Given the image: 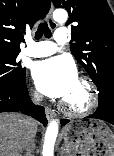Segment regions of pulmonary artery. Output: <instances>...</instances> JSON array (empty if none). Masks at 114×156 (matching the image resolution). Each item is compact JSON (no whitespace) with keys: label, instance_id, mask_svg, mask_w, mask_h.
<instances>
[{"label":"pulmonary artery","instance_id":"pulmonary-artery-1","mask_svg":"<svg viewBox=\"0 0 114 156\" xmlns=\"http://www.w3.org/2000/svg\"><path fill=\"white\" fill-rule=\"evenodd\" d=\"M68 34L66 29L59 28L55 31V43L51 41L34 42L31 38L27 39V45L23 49V54L29 57H46L59 50L58 45L67 42Z\"/></svg>","mask_w":114,"mask_h":156}]
</instances>
